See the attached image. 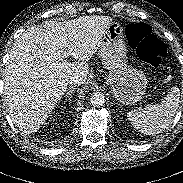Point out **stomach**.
Segmentation results:
<instances>
[{
  "instance_id": "0dacf381",
  "label": "stomach",
  "mask_w": 183,
  "mask_h": 183,
  "mask_svg": "<svg viewBox=\"0 0 183 183\" xmlns=\"http://www.w3.org/2000/svg\"><path fill=\"white\" fill-rule=\"evenodd\" d=\"M101 60L109 74L106 82L114 97L125 105L141 101L147 87L144 73L127 64V48L123 40V27L112 22L106 29L101 43Z\"/></svg>"
}]
</instances>
